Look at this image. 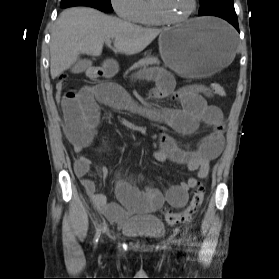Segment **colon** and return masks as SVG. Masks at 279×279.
<instances>
[{"label":"colon","mask_w":279,"mask_h":279,"mask_svg":"<svg viewBox=\"0 0 279 279\" xmlns=\"http://www.w3.org/2000/svg\"><path fill=\"white\" fill-rule=\"evenodd\" d=\"M67 82L65 79H60L55 87V96L57 100L61 101L66 90ZM210 92L216 95L223 96L225 94L224 87L219 83H211L209 87ZM205 195V187L200 184L193 190L190 202L183 211H173L165 209L163 214L168 224L175 225L189 220L200 208Z\"/></svg>","instance_id":"obj_1"}]
</instances>
